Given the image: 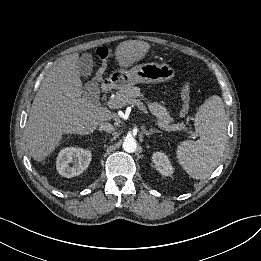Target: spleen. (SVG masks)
Segmentation results:
<instances>
[{
  "label": "spleen",
  "mask_w": 261,
  "mask_h": 261,
  "mask_svg": "<svg viewBox=\"0 0 261 261\" xmlns=\"http://www.w3.org/2000/svg\"><path fill=\"white\" fill-rule=\"evenodd\" d=\"M200 139L183 141L176 150L178 163L194 179H205L219 165L227 142V120L222 99L208 98L195 115Z\"/></svg>",
  "instance_id": "obj_1"
}]
</instances>
